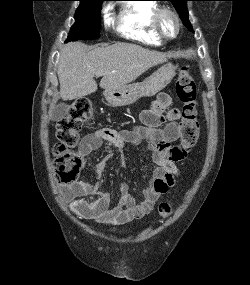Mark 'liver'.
<instances>
[{
	"label": "liver",
	"instance_id": "6515ba94",
	"mask_svg": "<svg viewBox=\"0 0 250 285\" xmlns=\"http://www.w3.org/2000/svg\"><path fill=\"white\" fill-rule=\"evenodd\" d=\"M165 61V54L136 44L115 43L91 49L81 42H71L60 52V96L63 100H73L94 93L97 83L93 78L99 73L103 76L100 87L114 90Z\"/></svg>",
	"mask_w": 250,
	"mask_h": 285
}]
</instances>
